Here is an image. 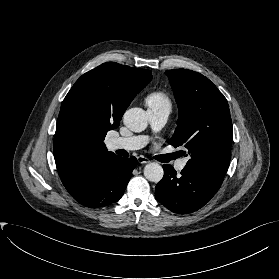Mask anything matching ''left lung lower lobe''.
I'll return each mask as SVG.
<instances>
[{
	"mask_svg": "<svg viewBox=\"0 0 279 279\" xmlns=\"http://www.w3.org/2000/svg\"><path fill=\"white\" fill-rule=\"evenodd\" d=\"M164 176L155 189L156 199L177 214L194 212L204 206L221 185L205 176L182 170L177 176L171 165H163Z\"/></svg>",
	"mask_w": 279,
	"mask_h": 279,
	"instance_id": "1",
	"label": "left lung lower lobe"
}]
</instances>
